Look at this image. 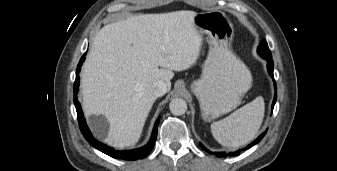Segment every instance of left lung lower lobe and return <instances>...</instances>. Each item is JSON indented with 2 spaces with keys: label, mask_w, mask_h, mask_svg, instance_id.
I'll return each instance as SVG.
<instances>
[{
  "label": "left lung lower lobe",
  "mask_w": 337,
  "mask_h": 171,
  "mask_svg": "<svg viewBox=\"0 0 337 171\" xmlns=\"http://www.w3.org/2000/svg\"><path fill=\"white\" fill-rule=\"evenodd\" d=\"M264 59H266L268 61V65H267L268 72L271 75V77L274 78V76H273V60H272V58H264ZM273 81H274L275 91H277L275 80H273ZM276 99H277V93L275 92V97H274V100H273V103H272V109L274 108ZM265 134H266V131L264 133H262L256 140H254L252 143H250L246 148H244V150L247 149V148L252 147L253 145H256L265 136ZM200 146L205 151H207L208 153H212L211 151H209L208 149H206L202 144H200ZM241 151L242 150H237L236 152H230L229 154H226L225 152H214L212 154H215L218 157H226L227 155H229V156L232 157V156L239 155Z\"/></svg>",
  "instance_id": "1"
}]
</instances>
